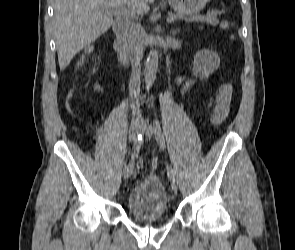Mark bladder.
<instances>
[{
	"instance_id": "bladder-1",
	"label": "bladder",
	"mask_w": 295,
	"mask_h": 250,
	"mask_svg": "<svg viewBox=\"0 0 295 250\" xmlns=\"http://www.w3.org/2000/svg\"><path fill=\"white\" fill-rule=\"evenodd\" d=\"M127 208L138 220L163 219L168 210V198L160 178L152 174L139 181L129 194Z\"/></svg>"
}]
</instances>
